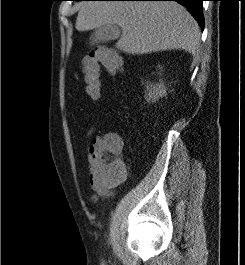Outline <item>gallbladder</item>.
<instances>
[{
    "mask_svg": "<svg viewBox=\"0 0 245 265\" xmlns=\"http://www.w3.org/2000/svg\"><path fill=\"white\" fill-rule=\"evenodd\" d=\"M120 28L117 25H102L95 28L90 40L93 44L106 43L117 40L120 37Z\"/></svg>",
    "mask_w": 245,
    "mask_h": 265,
    "instance_id": "obj_1",
    "label": "gallbladder"
}]
</instances>
